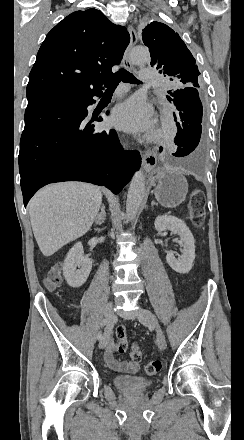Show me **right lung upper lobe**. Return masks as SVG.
Instances as JSON below:
<instances>
[{"label":"right lung upper lobe","mask_w":244,"mask_h":440,"mask_svg":"<svg viewBox=\"0 0 244 440\" xmlns=\"http://www.w3.org/2000/svg\"><path fill=\"white\" fill-rule=\"evenodd\" d=\"M130 42L126 28L94 8L76 11L46 36L29 74L28 100L83 97L102 90Z\"/></svg>","instance_id":"cb5924a9"}]
</instances>
